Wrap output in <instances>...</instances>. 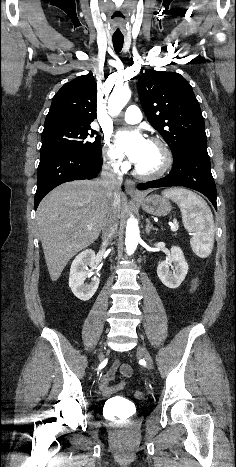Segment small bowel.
<instances>
[{
  "label": "small bowel",
  "instance_id": "obj_1",
  "mask_svg": "<svg viewBox=\"0 0 236 467\" xmlns=\"http://www.w3.org/2000/svg\"><path fill=\"white\" fill-rule=\"evenodd\" d=\"M118 371L121 373V380L116 384H111ZM132 374L133 369L130 365L124 364L120 360H115L108 372L100 379L99 387L101 392L104 395L109 396L122 390L126 385L127 379L130 378Z\"/></svg>",
  "mask_w": 236,
  "mask_h": 467
}]
</instances>
